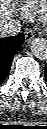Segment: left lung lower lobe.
Segmentation results:
<instances>
[{
    "instance_id": "0a47b994",
    "label": "left lung lower lobe",
    "mask_w": 47,
    "mask_h": 129,
    "mask_svg": "<svg viewBox=\"0 0 47 129\" xmlns=\"http://www.w3.org/2000/svg\"><path fill=\"white\" fill-rule=\"evenodd\" d=\"M45 76H46V81H47V65L45 67Z\"/></svg>"
}]
</instances>
